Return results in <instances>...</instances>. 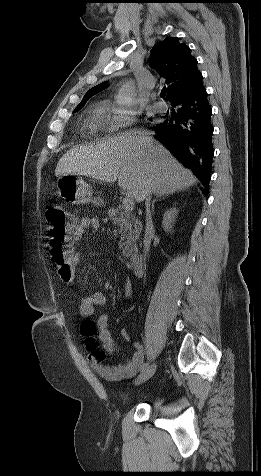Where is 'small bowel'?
Wrapping results in <instances>:
<instances>
[{
    "instance_id": "obj_1",
    "label": "small bowel",
    "mask_w": 261,
    "mask_h": 476,
    "mask_svg": "<svg viewBox=\"0 0 261 476\" xmlns=\"http://www.w3.org/2000/svg\"><path fill=\"white\" fill-rule=\"evenodd\" d=\"M88 229L97 231L100 229V221L95 217H84L81 219L77 226L75 233V239H81ZM81 257L79 253L72 255L70 264L73 268L77 267L80 263ZM132 296V285L129 280L124 281V297L130 299ZM106 297L99 291H93L91 294L84 296L81 299L79 305V313L86 320L94 316L96 309L106 304ZM94 326V334L97 335V339L102 344L103 348L110 353L119 352V348L115 341L112 339L111 333L108 329L109 318L105 313H100L95 321H91ZM121 337L124 340H130V334L127 330L122 329ZM135 351L130 360L124 364L118 366L105 365L102 359H99L94 351H90L89 360L93 368L107 380L117 381L123 378L134 376L143 365L144 360V347L142 344L134 343Z\"/></svg>"
}]
</instances>
